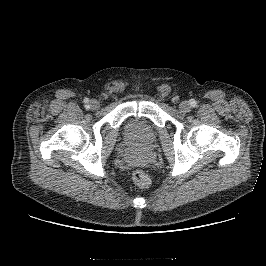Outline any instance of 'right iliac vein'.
<instances>
[{
    "instance_id": "right-iliac-vein-1",
    "label": "right iliac vein",
    "mask_w": 266,
    "mask_h": 266,
    "mask_svg": "<svg viewBox=\"0 0 266 266\" xmlns=\"http://www.w3.org/2000/svg\"><path fill=\"white\" fill-rule=\"evenodd\" d=\"M89 105H90L91 109H93V110H97L100 107L99 102L95 99L91 100Z\"/></svg>"
}]
</instances>
